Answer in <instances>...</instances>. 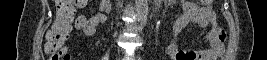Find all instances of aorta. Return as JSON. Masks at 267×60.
Instances as JSON below:
<instances>
[{"mask_svg": "<svg viewBox=\"0 0 267 60\" xmlns=\"http://www.w3.org/2000/svg\"><path fill=\"white\" fill-rule=\"evenodd\" d=\"M135 8L140 21L145 22L148 15V0H135Z\"/></svg>", "mask_w": 267, "mask_h": 60, "instance_id": "762f6f07", "label": "aorta"}]
</instances>
